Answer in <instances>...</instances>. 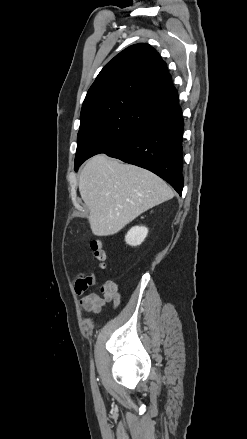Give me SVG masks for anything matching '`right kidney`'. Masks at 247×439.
<instances>
[{
	"label": "right kidney",
	"mask_w": 247,
	"mask_h": 439,
	"mask_svg": "<svg viewBox=\"0 0 247 439\" xmlns=\"http://www.w3.org/2000/svg\"><path fill=\"white\" fill-rule=\"evenodd\" d=\"M148 234V229L144 226H135L129 230L125 236V241L128 245H140Z\"/></svg>",
	"instance_id": "right-kidney-1"
}]
</instances>
